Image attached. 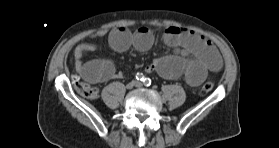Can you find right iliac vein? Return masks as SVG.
Segmentation results:
<instances>
[{
  "label": "right iliac vein",
  "instance_id": "63e3f726",
  "mask_svg": "<svg viewBox=\"0 0 279 148\" xmlns=\"http://www.w3.org/2000/svg\"><path fill=\"white\" fill-rule=\"evenodd\" d=\"M133 86H134V82H130V83L127 84L126 88L127 89H132Z\"/></svg>",
  "mask_w": 279,
  "mask_h": 148
}]
</instances>
